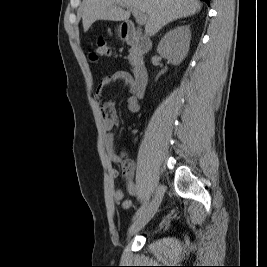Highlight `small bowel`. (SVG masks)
I'll return each mask as SVG.
<instances>
[{
  "instance_id": "c3829d8e",
  "label": "small bowel",
  "mask_w": 267,
  "mask_h": 267,
  "mask_svg": "<svg viewBox=\"0 0 267 267\" xmlns=\"http://www.w3.org/2000/svg\"><path fill=\"white\" fill-rule=\"evenodd\" d=\"M121 81L127 85L130 95L127 97L126 106L130 113H136L139 111L138 98L133 93L134 80L127 71H117L112 75L106 76L101 80L98 86L95 97L100 104V111L102 115V126L105 131L103 144L107 154V157L112 163H121L126 177V188L129 194L136 195L138 193V185L133 180V173L135 170V164L133 161L123 159L116 151L115 135L112 132L114 128L119 125V118L115 111V103L111 100L102 101L103 90L111 85L113 82ZM109 175L111 179H116L119 176V171L115 168H110ZM113 200L117 204H121L124 209H130L132 207V201L124 199V193L120 189L113 191Z\"/></svg>"
}]
</instances>
